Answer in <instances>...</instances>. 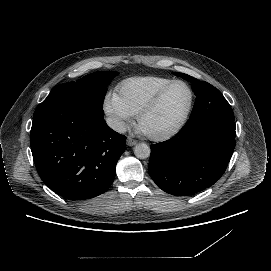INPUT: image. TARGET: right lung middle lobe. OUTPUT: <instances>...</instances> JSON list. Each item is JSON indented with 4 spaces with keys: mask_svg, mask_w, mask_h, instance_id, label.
I'll return each instance as SVG.
<instances>
[{
    "mask_svg": "<svg viewBox=\"0 0 271 271\" xmlns=\"http://www.w3.org/2000/svg\"><path fill=\"white\" fill-rule=\"evenodd\" d=\"M114 71L94 72L75 82L57 86L36 108L33 119L50 112H94L103 117L102 104Z\"/></svg>",
    "mask_w": 271,
    "mask_h": 271,
    "instance_id": "dd1d6c3e",
    "label": "right lung middle lobe"
}]
</instances>
